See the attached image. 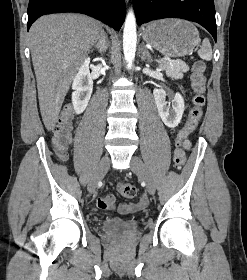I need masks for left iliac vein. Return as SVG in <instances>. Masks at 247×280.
<instances>
[{"mask_svg":"<svg viewBox=\"0 0 247 280\" xmlns=\"http://www.w3.org/2000/svg\"><path fill=\"white\" fill-rule=\"evenodd\" d=\"M130 165L131 170L145 182L148 193L154 195L155 183L143 161L139 157L133 156Z\"/></svg>","mask_w":247,"mask_h":280,"instance_id":"obj_1","label":"left iliac vein"}]
</instances>
